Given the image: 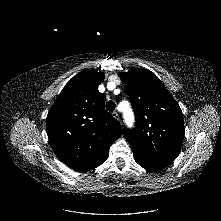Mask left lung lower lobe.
Here are the masks:
<instances>
[{
    "label": "left lung lower lobe",
    "mask_w": 221,
    "mask_h": 221,
    "mask_svg": "<svg viewBox=\"0 0 221 221\" xmlns=\"http://www.w3.org/2000/svg\"><path fill=\"white\" fill-rule=\"evenodd\" d=\"M133 154H134V158H135L136 162L141 167H143L144 169H146L148 171H152V172L161 171L169 165L166 163L156 162V161L144 158V157L137 155L135 153H133Z\"/></svg>",
    "instance_id": "1"
}]
</instances>
